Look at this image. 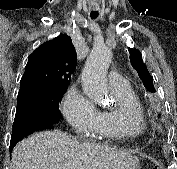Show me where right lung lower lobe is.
<instances>
[{
  "label": "right lung lower lobe",
  "mask_w": 177,
  "mask_h": 169,
  "mask_svg": "<svg viewBox=\"0 0 177 169\" xmlns=\"http://www.w3.org/2000/svg\"><path fill=\"white\" fill-rule=\"evenodd\" d=\"M53 127L54 124L43 119L23 118L20 120H15L10 141V152L12 151L13 147L16 145L17 142H19L32 132L43 129H52Z\"/></svg>",
  "instance_id": "98d812e1"
}]
</instances>
